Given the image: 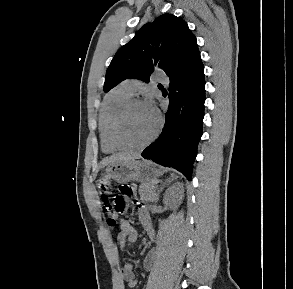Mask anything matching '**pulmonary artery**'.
<instances>
[{
	"instance_id": "pulmonary-artery-1",
	"label": "pulmonary artery",
	"mask_w": 293,
	"mask_h": 289,
	"mask_svg": "<svg viewBox=\"0 0 293 289\" xmlns=\"http://www.w3.org/2000/svg\"><path fill=\"white\" fill-rule=\"evenodd\" d=\"M157 81L167 83L168 79L162 77L161 74H157ZM122 85L130 94H134L137 91V89L139 88L140 82L135 79H127L122 83Z\"/></svg>"
}]
</instances>
